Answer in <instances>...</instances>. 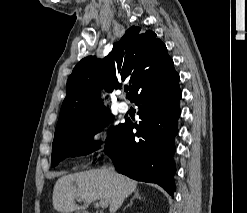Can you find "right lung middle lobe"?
Returning <instances> with one entry per match:
<instances>
[{
  "mask_svg": "<svg viewBox=\"0 0 247 213\" xmlns=\"http://www.w3.org/2000/svg\"><path fill=\"white\" fill-rule=\"evenodd\" d=\"M113 118L114 116L109 111H104L84 125L55 134L52 144L51 165L54 167L69 156L86 155L97 150L100 142H94L92 136L100 132L101 127L108 125ZM122 126L123 124L108 130L105 151L114 145Z\"/></svg>",
  "mask_w": 247,
  "mask_h": 213,
  "instance_id": "obj_1",
  "label": "right lung middle lobe"
}]
</instances>
